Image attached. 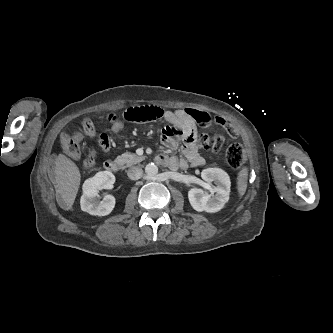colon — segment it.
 Here are the masks:
<instances>
[{
	"label": "colon",
	"instance_id": "obj_1",
	"mask_svg": "<svg viewBox=\"0 0 333 333\" xmlns=\"http://www.w3.org/2000/svg\"><path fill=\"white\" fill-rule=\"evenodd\" d=\"M164 116V110L154 106H131L123 111L122 117L125 122L130 124H137L138 122H148L160 119ZM109 120H114L113 115L108 116ZM82 133L93 136L95 134L94 126L90 120H84L82 122ZM197 143L212 152L218 151L223 143L224 136L222 134H216L209 136L206 133H199L196 135ZM81 142V133H64L60 136V143L63 150L72 155H79ZM98 144L103 150H108L111 146V140L106 134L100 135ZM244 150L239 143H232L226 150V161L232 169H238L244 162ZM84 164L87 168H91L94 165V153H89L86 157Z\"/></svg>",
	"mask_w": 333,
	"mask_h": 333
}]
</instances>
